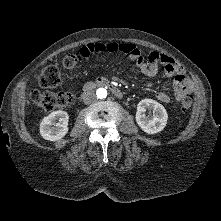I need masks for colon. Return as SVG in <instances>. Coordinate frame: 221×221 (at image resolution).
I'll return each instance as SVG.
<instances>
[{"label":"colon","instance_id":"obj_1","mask_svg":"<svg viewBox=\"0 0 221 221\" xmlns=\"http://www.w3.org/2000/svg\"><path fill=\"white\" fill-rule=\"evenodd\" d=\"M79 57L74 53H68L62 60V65L66 69H72L78 64ZM63 78L56 66L45 67L39 76V85L45 89L59 87ZM30 98L35 107L42 111H52L57 108L70 106L74 97L68 92H50L33 89L30 92ZM191 98L183 99L180 104L175 105L173 110L185 113L191 107Z\"/></svg>","mask_w":221,"mask_h":221}]
</instances>
